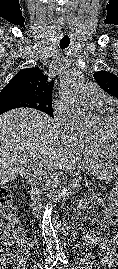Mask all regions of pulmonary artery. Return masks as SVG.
<instances>
[{"label": "pulmonary artery", "instance_id": "1", "mask_svg": "<svg viewBox=\"0 0 118 269\" xmlns=\"http://www.w3.org/2000/svg\"><path fill=\"white\" fill-rule=\"evenodd\" d=\"M104 95L95 83H87L83 88L81 103L90 108H100Z\"/></svg>", "mask_w": 118, "mask_h": 269}]
</instances>
